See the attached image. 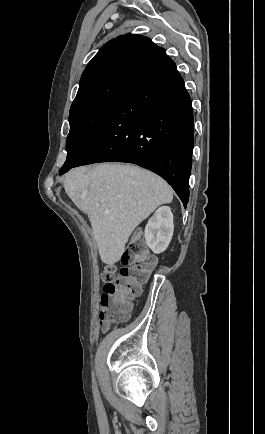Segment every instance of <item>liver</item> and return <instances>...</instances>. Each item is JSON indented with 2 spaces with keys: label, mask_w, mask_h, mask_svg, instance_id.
Instances as JSON below:
<instances>
[{
  "label": "liver",
  "mask_w": 265,
  "mask_h": 434,
  "mask_svg": "<svg viewBox=\"0 0 265 434\" xmlns=\"http://www.w3.org/2000/svg\"><path fill=\"white\" fill-rule=\"evenodd\" d=\"M64 190L87 214L103 264H116L136 226L158 206L170 204L172 188L138 166L98 164L66 174ZM99 204V206H96Z\"/></svg>",
  "instance_id": "6515ba94"
}]
</instances>
